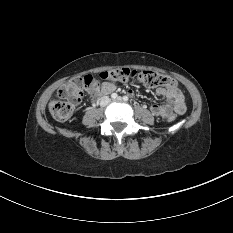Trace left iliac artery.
Returning <instances> with one entry per match:
<instances>
[{
  "instance_id": "1",
  "label": "left iliac artery",
  "mask_w": 233,
  "mask_h": 233,
  "mask_svg": "<svg viewBox=\"0 0 233 233\" xmlns=\"http://www.w3.org/2000/svg\"><path fill=\"white\" fill-rule=\"evenodd\" d=\"M123 100H124V101H128L129 98H128L127 96H124V97H123Z\"/></svg>"
}]
</instances>
